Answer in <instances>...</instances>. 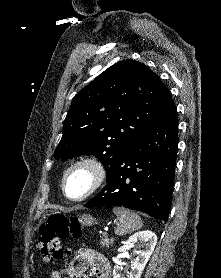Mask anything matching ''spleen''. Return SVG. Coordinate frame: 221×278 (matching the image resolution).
I'll list each match as a JSON object with an SVG mask.
<instances>
[{
	"mask_svg": "<svg viewBox=\"0 0 221 278\" xmlns=\"http://www.w3.org/2000/svg\"><path fill=\"white\" fill-rule=\"evenodd\" d=\"M113 212L120 222L115 229L116 235L123 236L143 226L142 219L133 211L121 207H114Z\"/></svg>",
	"mask_w": 221,
	"mask_h": 278,
	"instance_id": "obj_1",
	"label": "spleen"
}]
</instances>
